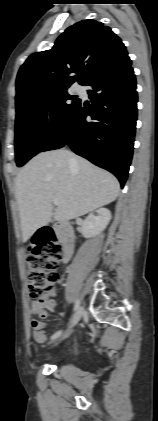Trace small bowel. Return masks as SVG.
<instances>
[{
	"instance_id": "1",
	"label": "small bowel",
	"mask_w": 158,
	"mask_h": 421,
	"mask_svg": "<svg viewBox=\"0 0 158 421\" xmlns=\"http://www.w3.org/2000/svg\"><path fill=\"white\" fill-rule=\"evenodd\" d=\"M53 307V302L49 300H43L38 302H33L31 304V313L41 319H45L48 316L47 308ZM31 327L33 330L34 339L42 344L47 340L46 334V324L45 322L33 319L31 321Z\"/></svg>"
}]
</instances>
